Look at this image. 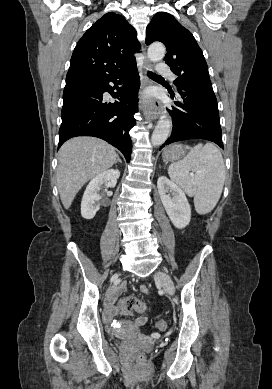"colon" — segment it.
I'll return each mask as SVG.
<instances>
[{
  "mask_svg": "<svg viewBox=\"0 0 272 389\" xmlns=\"http://www.w3.org/2000/svg\"><path fill=\"white\" fill-rule=\"evenodd\" d=\"M118 310L122 313L126 314H141L144 313L146 310V305L143 301L140 299L133 297V296H127L122 299H120L118 303ZM167 321L161 319L157 321L156 327L160 331H164L167 329ZM133 360L137 364H143L145 361V357L142 353H135L133 355Z\"/></svg>",
  "mask_w": 272,
  "mask_h": 389,
  "instance_id": "1",
  "label": "colon"
}]
</instances>
